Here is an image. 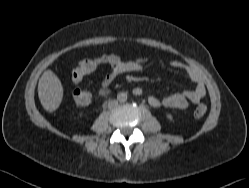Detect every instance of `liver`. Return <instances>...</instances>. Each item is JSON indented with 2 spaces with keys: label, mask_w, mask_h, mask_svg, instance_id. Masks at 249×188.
<instances>
[{
  "label": "liver",
  "mask_w": 249,
  "mask_h": 188,
  "mask_svg": "<svg viewBox=\"0 0 249 188\" xmlns=\"http://www.w3.org/2000/svg\"><path fill=\"white\" fill-rule=\"evenodd\" d=\"M63 86L52 70H46L38 82V97L43 108L53 112L60 106L63 99Z\"/></svg>",
  "instance_id": "liver-1"
}]
</instances>
